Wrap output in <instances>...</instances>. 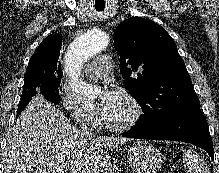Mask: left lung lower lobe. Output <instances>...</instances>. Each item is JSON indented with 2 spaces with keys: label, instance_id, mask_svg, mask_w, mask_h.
Returning a JSON list of instances; mask_svg holds the SVG:
<instances>
[{
  "label": "left lung lower lobe",
  "instance_id": "0a47b994",
  "mask_svg": "<svg viewBox=\"0 0 219 173\" xmlns=\"http://www.w3.org/2000/svg\"><path fill=\"white\" fill-rule=\"evenodd\" d=\"M122 136L136 139H160L191 143L203 148L214 160L209 127L200 109L183 112L155 128L135 127Z\"/></svg>",
  "mask_w": 219,
  "mask_h": 173
}]
</instances>
